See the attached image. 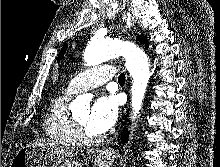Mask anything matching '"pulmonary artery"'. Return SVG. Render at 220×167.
Here are the masks:
<instances>
[{
	"instance_id": "obj_1",
	"label": "pulmonary artery",
	"mask_w": 220,
	"mask_h": 167,
	"mask_svg": "<svg viewBox=\"0 0 220 167\" xmlns=\"http://www.w3.org/2000/svg\"><path fill=\"white\" fill-rule=\"evenodd\" d=\"M115 70L112 65H102L86 69L78 73L69 83L68 90L82 92L104 85L114 77Z\"/></svg>"
}]
</instances>
